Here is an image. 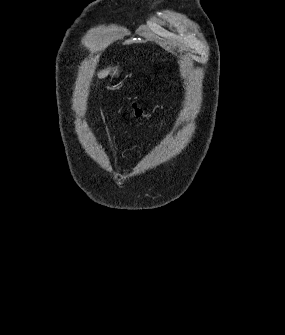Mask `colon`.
I'll return each instance as SVG.
<instances>
[{"label": "colon", "mask_w": 285, "mask_h": 335, "mask_svg": "<svg viewBox=\"0 0 285 335\" xmlns=\"http://www.w3.org/2000/svg\"><path fill=\"white\" fill-rule=\"evenodd\" d=\"M132 110L136 116H139L141 114V109L136 103H133Z\"/></svg>", "instance_id": "1"}]
</instances>
